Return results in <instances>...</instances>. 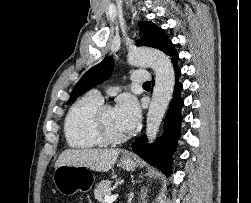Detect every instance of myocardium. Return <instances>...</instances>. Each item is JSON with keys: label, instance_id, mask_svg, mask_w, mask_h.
Instances as JSON below:
<instances>
[{"label": "myocardium", "instance_id": "f54148a6", "mask_svg": "<svg viewBox=\"0 0 251 203\" xmlns=\"http://www.w3.org/2000/svg\"><path fill=\"white\" fill-rule=\"evenodd\" d=\"M109 108H112V106L109 104H101L95 110L92 123L93 130L103 143L119 144L126 141L129 138V134L126 133L122 136H115L108 131L104 121V114L105 111Z\"/></svg>", "mask_w": 251, "mask_h": 203}]
</instances>
